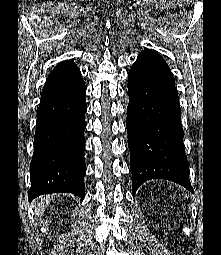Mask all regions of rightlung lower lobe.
Masks as SVG:
<instances>
[{"mask_svg": "<svg viewBox=\"0 0 221 255\" xmlns=\"http://www.w3.org/2000/svg\"><path fill=\"white\" fill-rule=\"evenodd\" d=\"M86 87L72 61L59 63L41 93L30 165L29 201L42 194H85Z\"/></svg>", "mask_w": 221, "mask_h": 255, "instance_id": "98d812e1", "label": "right lung lower lobe"}]
</instances>
